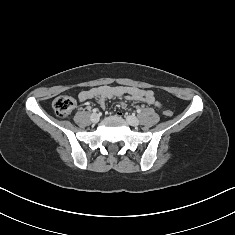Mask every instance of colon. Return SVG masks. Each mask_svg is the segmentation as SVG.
Here are the masks:
<instances>
[{
	"instance_id": "1",
	"label": "colon",
	"mask_w": 235,
	"mask_h": 235,
	"mask_svg": "<svg viewBox=\"0 0 235 235\" xmlns=\"http://www.w3.org/2000/svg\"><path fill=\"white\" fill-rule=\"evenodd\" d=\"M52 107L55 113L60 117L68 116L75 107V100L72 97L61 95L54 99L52 103ZM172 111L170 109H166L164 111L165 116H172Z\"/></svg>"
}]
</instances>
